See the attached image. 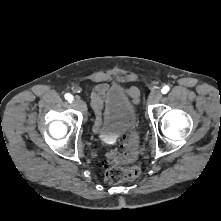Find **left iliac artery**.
I'll return each instance as SVG.
<instances>
[{
    "label": "left iliac artery",
    "mask_w": 221,
    "mask_h": 221,
    "mask_svg": "<svg viewBox=\"0 0 221 221\" xmlns=\"http://www.w3.org/2000/svg\"><path fill=\"white\" fill-rule=\"evenodd\" d=\"M169 90H170V87H169L168 85H165V86H163L161 92H162L163 94H166V93L169 92Z\"/></svg>",
    "instance_id": "44dca946"
}]
</instances>
